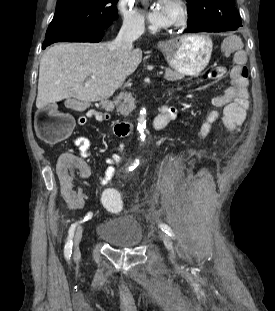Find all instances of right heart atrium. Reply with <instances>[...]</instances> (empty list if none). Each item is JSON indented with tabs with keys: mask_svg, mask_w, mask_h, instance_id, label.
Returning <instances> with one entry per match:
<instances>
[{
	"mask_svg": "<svg viewBox=\"0 0 275 311\" xmlns=\"http://www.w3.org/2000/svg\"><path fill=\"white\" fill-rule=\"evenodd\" d=\"M118 9L125 28L134 32H142L144 30V15L138 10L133 0H118Z\"/></svg>",
	"mask_w": 275,
	"mask_h": 311,
	"instance_id": "1",
	"label": "right heart atrium"
}]
</instances>
